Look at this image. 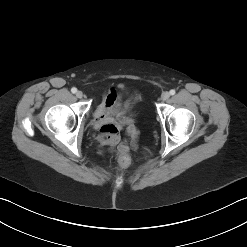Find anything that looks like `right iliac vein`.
I'll return each mask as SVG.
<instances>
[{
	"mask_svg": "<svg viewBox=\"0 0 247 247\" xmlns=\"http://www.w3.org/2000/svg\"><path fill=\"white\" fill-rule=\"evenodd\" d=\"M77 98H82L83 97V92L82 91H77L76 92Z\"/></svg>",
	"mask_w": 247,
	"mask_h": 247,
	"instance_id": "obj_1",
	"label": "right iliac vein"
}]
</instances>
